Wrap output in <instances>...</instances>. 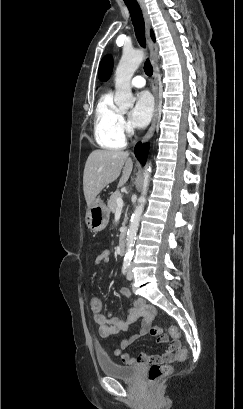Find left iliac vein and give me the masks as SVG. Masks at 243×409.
I'll return each mask as SVG.
<instances>
[{
    "instance_id": "left-iliac-vein-1",
    "label": "left iliac vein",
    "mask_w": 243,
    "mask_h": 409,
    "mask_svg": "<svg viewBox=\"0 0 243 409\" xmlns=\"http://www.w3.org/2000/svg\"><path fill=\"white\" fill-rule=\"evenodd\" d=\"M127 279H128V280H132V279H133L132 265H130V266L128 267V270H127Z\"/></svg>"
}]
</instances>
